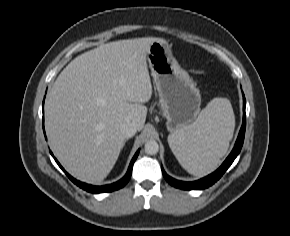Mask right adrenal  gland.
Instances as JSON below:
<instances>
[{"mask_svg":"<svg viewBox=\"0 0 290 236\" xmlns=\"http://www.w3.org/2000/svg\"><path fill=\"white\" fill-rule=\"evenodd\" d=\"M126 142H127V139L125 140L124 145H125Z\"/></svg>","mask_w":290,"mask_h":236,"instance_id":"1","label":"right adrenal gland"}]
</instances>
